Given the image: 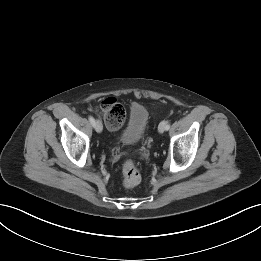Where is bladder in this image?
Wrapping results in <instances>:
<instances>
[{
    "label": "bladder",
    "instance_id": "obj_1",
    "mask_svg": "<svg viewBox=\"0 0 261 261\" xmlns=\"http://www.w3.org/2000/svg\"><path fill=\"white\" fill-rule=\"evenodd\" d=\"M149 123L147 109L138 103L131 106L127 123L120 134V141L125 145H136L144 138Z\"/></svg>",
    "mask_w": 261,
    "mask_h": 261
}]
</instances>
